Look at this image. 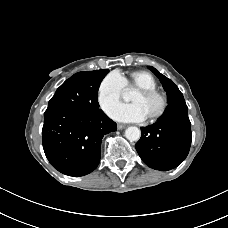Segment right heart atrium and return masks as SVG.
<instances>
[{
    "label": "right heart atrium",
    "instance_id": "1",
    "mask_svg": "<svg viewBox=\"0 0 228 228\" xmlns=\"http://www.w3.org/2000/svg\"><path fill=\"white\" fill-rule=\"evenodd\" d=\"M124 84L116 72L107 74L97 88V102L100 109L107 112L122 96Z\"/></svg>",
    "mask_w": 228,
    "mask_h": 228
}]
</instances>
